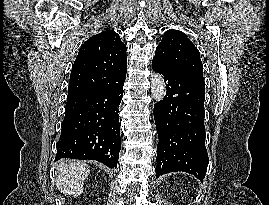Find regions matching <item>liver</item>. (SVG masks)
Returning <instances> with one entry per match:
<instances>
[{
	"label": "liver",
	"instance_id": "1",
	"mask_svg": "<svg viewBox=\"0 0 269 205\" xmlns=\"http://www.w3.org/2000/svg\"><path fill=\"white\" fill-rule=\"evenodd\" d=\"M58 190L63 194L78 197L83 192V184L89 175V167L82 161L60 160L56 165Z\"/></svg>",
	"mask_w": 269,
	"mask_h": 205
}]
</instances>
